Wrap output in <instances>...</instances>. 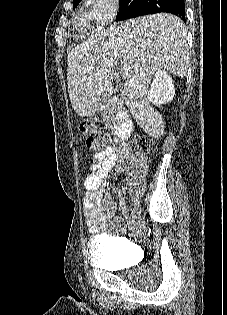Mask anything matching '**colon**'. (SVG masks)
<instances>
[{
    "mask_svg": "<svg viewBox=\"0 0 227 315\" xmlns=\"http://www.w3.org/2000/svg\"><path fill=\"white\" fill-rule=\"evenodd\" d=\"M79 131L85 136L88 147L101 148L103 146L105 135L92 120H81L79 122ZM136 143L139 148L148 155H153L156 150L155 144L147 138L138 137L136 138Z\"/></svg>",
    "mask_w": 227,
    "mask_h": 315,
    "instance_id": "obj_1",
    "label": "colon"
}]
</instances>
